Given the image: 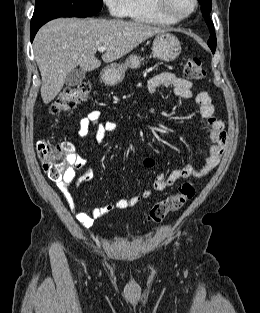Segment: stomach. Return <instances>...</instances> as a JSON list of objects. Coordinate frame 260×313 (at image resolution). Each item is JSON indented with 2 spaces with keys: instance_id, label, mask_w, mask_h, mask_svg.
<instances>
[{
  "instance_id": "stomach-1",
  "label": "stomach",
  "mask_w": 260,
  "mask_h": 313,
  "mask_svg": "<svg viewBox=\"0 0 260 313\" xmlns=\"http://www.w3.org/2000/svg\"><path fill=\"white\" fill-rule=\"evenodd\" d=\"M153 54L163 61H173L181 53V45L178 38L169 33H158L152 44ZM140 66V58L131 55L125 64H111L107 66L102 73V80L110 85H115L122 81L128 67L138 68Z\"/></svg>"
}]
</instances>
